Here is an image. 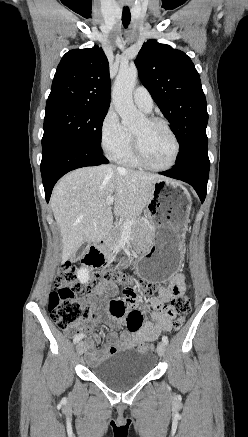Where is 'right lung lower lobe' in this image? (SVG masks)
I'll use <instances>...</instances> for the list:
<instances>
[{
    "label": "right lung lower lobe",
    "mask_w": 248,
    "mask_h": 437,
    "mask_svg": "<svg viewBox=\"0 0 248 437\" xmlns=\"http://www.w3.org/2000/svg\"><path fill=\"white\" fill-rule=\"evenodd\" d=\"M103 152L77 142L52 141L42 146L41 174L47 202L55 183L67 172L86 166L106 164Z\"/></svg>",
    "instance_id": "1"
}]
</instances>
